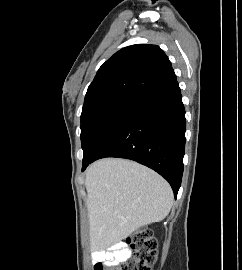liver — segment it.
Segmentation results:
<instances>
[{
  "label": "liver",
  "instance_id": "1",
  "mask_svg": "<svg viewBox=\"0 0 242 270\" xmlns=\"http://www.w3.org/2000/svg\"><path fill=\"white\" fill-rule=\"evenodd\" d=\"M90 242L104 248L148 224L163 220L173 205L170 185L133 161L107 158L86 171Z\"/></svg>",
  "mask_w": 242,
  "mask_h": 270
}]
</instances>
